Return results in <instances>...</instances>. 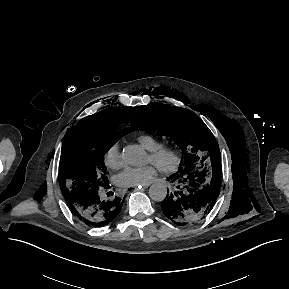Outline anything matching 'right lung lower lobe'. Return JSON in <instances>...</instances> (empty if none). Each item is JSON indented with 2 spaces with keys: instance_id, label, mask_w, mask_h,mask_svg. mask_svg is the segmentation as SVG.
Returning <instances> with one entry per match:
<instances>
[{
  "instance_id": "98d812e1",
  "label": "right lung lower lobe",
  "mask_w": 289,
  "mask_h": 289,
  "mask_svg": "<svg viewBox=\"0 0 289 289\" xmlns=\"http://www.w3.org/2000/svg\"><path fill=\"white\" fill-rule=\"evenodd\" d=\"M124 199L120 197L102 198L98 190L66 200L70 210L81 222L88 226H105L120 212Z\"/></svg>"
}]
</instances>
